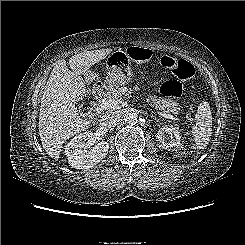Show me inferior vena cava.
I'll use <instances>...</instances> for the list:
<instances>
[{
  "label": "inferior vena cava",
  "mask_w": 245,
  "mask_h": 245,
  "mask_svg": "<svg viewBox=\"0 0 245 245\" xmlns=\"http://www.w3.org/2000/svg\"><path fill=\"white\" fill-rule=\"evenodd\" d=\"M119 119V115L115 112H110L102 116L100 120V125L104 128H111L113 125L117 123Z\"/></svg>",
  "instance_id": "602c4592"
}]
</instances>
